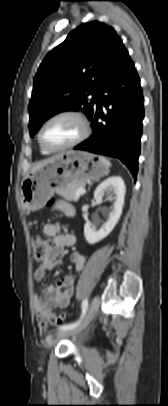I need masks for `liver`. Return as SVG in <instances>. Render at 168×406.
Instances as JSON below:
<instances>
[{
	"label": "liver",
	"mask_w": 168,
	"mask_h": 406,
	"mask_svg": "<svg viewBox=\"0 0 168 406\" xmlns=\"http://www.w3.org/2000/svg\"><path fill=\"white\" fill-rule=\"evenodd\" d=\"M57 157H58V155H57V156H54V157H51V158H49V159L43 160V161H41V162H39V163H37V164L32 168V171H31V172H34V171H36V170H38V169H40V168H42V167L48 165L49 163H52Z\"/></svg>",
	"instance_id": "obj_1"
}]
</instances>
